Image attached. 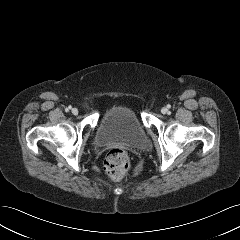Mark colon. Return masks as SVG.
Segmentation results:
<instances>
[{
    "label": "colon",
    "instance_id": "colon-1",
    "mask_svg": "<svg viewBox=\"0 0 240 240\" xmlns=\"http://www.w3.org/2000/svg\"><path fill=\"white\" fill-rule=\"evenodd\" d=\"M130 168V160L128 154L119 148L111 149L105 157L103 169L105 174L113 179L119 180Z\"/></svg>",
    "mask_w": 240,
    "mask_h": 240
}]
</instances>
